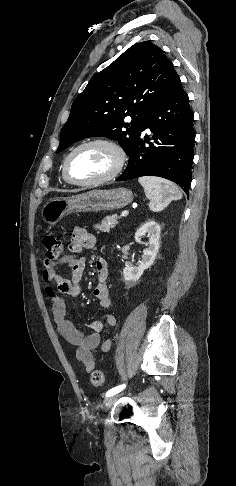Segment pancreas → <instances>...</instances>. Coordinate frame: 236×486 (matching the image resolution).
I'll return each instance as SVG.
<instances>
[{
    "label": "pancreas",
    "instance_id": "obj_1",
    "mask_svg": "<svg viewBox=\"0 0 236 486\" xmlns=\"http://www.w3.org/2000/svg\"><path fill=\"white\" fill-rule=\"evenodd\" d=\"M118 218L117 215L107 216L101 223L95 225L94 228L102 232H109L111 228H114L119 223Z\"/></svg>",
    "mask_w": 236,
    "mask_h": 486
}]
</instances>
